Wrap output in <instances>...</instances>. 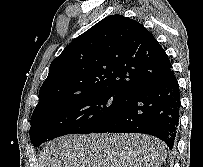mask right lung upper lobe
I'll use <instances>...</instances> for the list:
<instances>
[{
	"label": "right lung upper lobe",
	"instance_id": "1",
	"mask_svg": "<svg viewBox=\"0 0 203 167\" xmlns=\"http://www.w3.org/2000/svg\"><path fill=\"white\" fill-rule=\"evenodd\" d=\"M170 70L171 63L151 32L135 20L111 15L52 61L34 111L102 91L127 96Z\"/></svg>",
	"mask_w": 203,
	"mask_h": 167
}]
</instances>
